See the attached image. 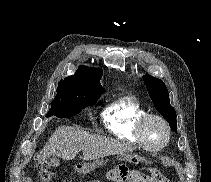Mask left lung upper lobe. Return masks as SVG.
<instances>
[{
    "label": "left lung upper lobe",
    "instance_id": "obj_1",
    "mask_svg": "<svg viewBox=\"0 0 211 182\" xmlns=\"http://www.w3.org/2000/svg\"><path fill=\"white\" fill-rule=\"evenodd\" d=\"M143 80L146 84L148 93L158 112L169 122L170 128L177 131L176 111L170 105L169 94L166 85L162 80L144 75Z\"/></svg>",
    "mask_w": 211,
    "mask_h": 182
}]
</instances>
